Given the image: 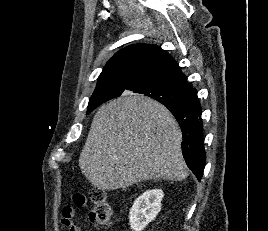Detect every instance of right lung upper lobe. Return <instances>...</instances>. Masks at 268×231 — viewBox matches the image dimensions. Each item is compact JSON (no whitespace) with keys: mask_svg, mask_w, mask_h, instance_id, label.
<instances>
[{"mask_svg":"<svg viewBox=\"0 0 268 231\" xmlns=\"http://www.w3.org/2000/svg\"><path fill=\"white\" fill-rule=\"evenodd\" d=\"M143 81H157L197 95L186 81L176 61L164 50L153 44H134L117 52L101 72L96 89L89 103H104L120 95L98 100L106 88L128 90ZM194 97V98H195ZM170 104L169 101H161Z\"/></svg>","mask_w":268,"mask_h":231,"instance_id":"cb5924a9","label":"right lung upper lobe"}]
</instances>
